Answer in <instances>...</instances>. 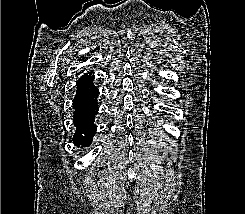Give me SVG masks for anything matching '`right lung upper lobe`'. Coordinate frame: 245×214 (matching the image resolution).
I'll return each mask as SVG.
<instances>
[{"label":"right lung upper lobe","instance_id":"obj_1","mask_svg":"<svg viewBox=\"0 0 245 214\" xmlns=\"http://www.w3.org/2000/svg\"><path fill=\"white\" fill-rule=\"evenodd\" d=\"M91 75H92L91 73H87V74H84L81 78L82 79L90 78L92 77Z\"/></svg>","mask_w":245,"mask_h":214}]
</instances>
